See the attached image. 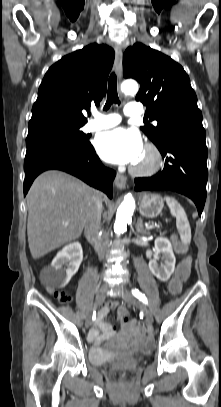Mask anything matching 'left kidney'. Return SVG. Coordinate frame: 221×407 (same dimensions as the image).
Here are the masks:
<instances>
[{"mask_svg": "<svg viewBox=\"0 0 221 407\" xmlns=\"http://www.w3.org/2000/svg\"><path fill=\"white\" fill-rule=\"evenodd\" d=\"M159 254L164 259V264L159 266L157 259ZM175 256L173 254L172 245L165 237L155 239L154 257L149 261V269L152 274L162 282L169 280L175 269Z\"/></svg>", "mask_w": 221, "mask_h": 407, "instance_id": "left-kidney-1", "label": "left kidney"}]
</instances>
